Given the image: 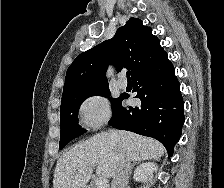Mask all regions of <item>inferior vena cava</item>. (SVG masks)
<instances>
[{"label": "inferior vena cava", "instance_id": "obj_1", "mask_svg": "<svg viewBox=\"0 0 224 188\" xmlns=\"http://www.w3.org/2000/svg\"><path fill=\"white\" fill-rule=\"evenodd\" d=\"M130 174V159L127 156H121L113 175L111 188H126Z\"/></svg>", "mask_w": 224, "mask_h": 188}]
</instances>
